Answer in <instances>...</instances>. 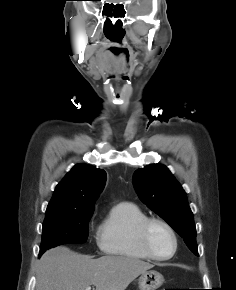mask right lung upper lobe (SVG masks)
I'll list each match as a JSON object with an SVG mask.
<instances>
[{
    "mask_svg": "<svg viewBox=\"0 0 236 290\" xmlns=\"http://www.w3.org/2000/svg\"><path fill=\"white\" fill-rule=\"evenodd\" d=\"M105 181L104 170L87 164L75 165L56 186L46 213L93 211Z\"/></svg>",
    "mask_w": 236,
    "mask_h": 290,
    "instance_id": "obj_1",
    "label": "right lung upper lobe"
}]
</instances>
